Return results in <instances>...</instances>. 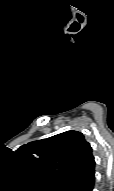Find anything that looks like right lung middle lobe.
<instances>
[{
    "mask_svg": "<svg viewBox=\"0 0 114 191\" xmlns=\"http://www.w3.org/2000/svg\"><path fill=\"white\" fill-rule=\"evenodd\" d=\"M48 191H57V188H46Z\"/></svg>",
    "mask_w": 114,
    "mask_h": 191,
    "instance_id": "right-lung-middle-lobe-1",
    "label": "right lung middle lobe"
}]
</instances>
